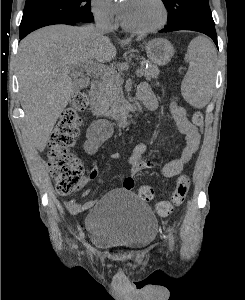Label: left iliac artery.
<instances>
[{
	"mask_svg": "<svg viewBox=\"0 0 245 300\" xmlns=\"http://www.w3.org/2000/svg\"><path fill=\"white\" fill-rule=\"evenodd\" d=\"M169 246H170L171 250L174 248V237H173V234L171 231L169 233Z\"/></svg>",
	"mask_w": 245,
	"mask_h": 300,
	"instance_id": "left-iliac-artery-1",
	"label": "left iliac artery"
}]
</instances>
